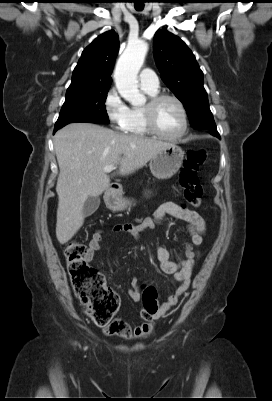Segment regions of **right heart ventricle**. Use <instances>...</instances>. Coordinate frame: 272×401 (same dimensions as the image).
I'll return each instance as SVG.
<instances>
[{
	"mask_svg": "<svg viewBox=\"0 0 272 401\" xmlns=\"http://www.w3.org/2000/svg\"><path fill=\"white\" fill-rule=\"evenodd\" d=\"M150 97L158 94V90L150 91L143 89ZM127 134L136 136H149L151 132L148 130L143 113V106L130 108L129 119L123 130Z\"/></svg>",
	"mask_w": 272,
	"mask_h": 401,
	"instance_id": "1",
	"label": "right heart ventricle"
}]
</instances>
